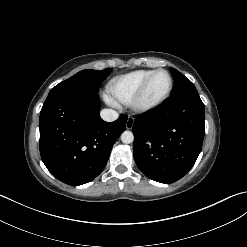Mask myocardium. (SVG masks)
Wrapping results in <instances>:
<instances>
[{"mask_svg":"<svg viewBox=\"0 0 247 247\" xmlns=\"http://www.w3.org/2000/svg\"><path fill=\"white\" fill-rule=\"evenodd\" d=\"M159 73H165L168 77L169 84L166 92L157 100L155 101H146V94L149 89V86L153 80V78L159 74ZM173 89V79L171 74L165 70V69H157L154 70L147 79L143 82L142 86L136 93V95L133 97V99L130 102V105L132 109L138 113H147L150 112L159 106H161L170 96Z\"/></svg>","mask_w":247,"mask_h":247,"instance_id":"1","label":"myocardium"}]
</instances>
